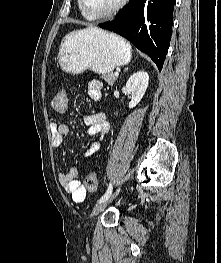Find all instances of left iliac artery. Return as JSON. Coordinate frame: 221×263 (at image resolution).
Returning <instances> with one entry per match:
<instances>
[{
	"label": "left iliac artery",
	"instance_id": "left-iliac-artery-1",
	"mask_svg": "<svg viewBox=\"0 0 221 263\" xmlns=\"http://www.w3.org/2000/svg\"><path fill=\"white\" fill-rule=\"evenodd\" d=\"M111 193H112V184H109V187L106 193L100 198L98 202L100 203V202L107 200L110 197Z\"/></svg>",
	"mask_w": 221,
	"mask_h": 263
}]
</instances>
